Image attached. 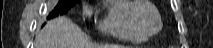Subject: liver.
<instances>
[{"instance_id": "liver-1", "label": "liver", "mask_w": 213, "mask_h": 48, "mask_svg": "<svg viewBox=\"0 0 213 48\" xmlns=\"http://www.w3.org/2000/svg\"><path fill=\"white\" fill-rule=\"evenodd\" d=\"M35 48H124L118 45L97 47L67 17L50 20L35 38Z\"/></svg>"}]
</instances>
